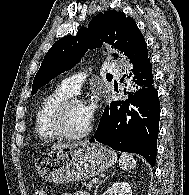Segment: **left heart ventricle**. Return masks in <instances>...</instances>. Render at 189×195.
<instances>
[{"instance_id": "obj_1", "label": "left heart ventricle", "mask_w": 189, "mask_h": 195, "mask_svg": "<svg viewBox=\"0 0 189 195\" xmlns=\"http://www.w3.org/2000/svg\"><path fill=\"white\" fill-rule=\"evenodd\" d=\"M90 121L86 104H76L67 111L64 126L69 133L78 134L88 126Z\"/></svg>"}]
</instances>
